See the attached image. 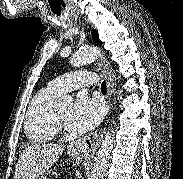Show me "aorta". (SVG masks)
<instances>
[{
    "label": "aorta",
    "mask_w": 183,
    "mask_h": 179,
    "mask_svg": "<svg viewBox=\"0 0 183 179\" xmlns=\"http://www.w3.org/2000/svg\"><path fill=\"white\" fill-rule=\"evenodd\" d=\"M98 54L99 50L96 47L82 49L71 57L70 64L74 67L83 66L94 61ZM72 102V97L63 96L56 104L61 106L69 105ZM114 134L115 132L113 128L109 129L105 134V137L94 159V164L88 179H104L114 146Z\"/></svg>",
    "instance_id": "762f6f07"
}]
</instances>
